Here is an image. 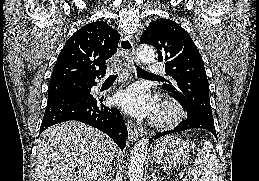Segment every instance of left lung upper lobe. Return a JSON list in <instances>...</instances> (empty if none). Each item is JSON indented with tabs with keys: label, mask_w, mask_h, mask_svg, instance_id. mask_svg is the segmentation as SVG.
Returning a JSON list of instances; mask_svg holds the SVG:
<instances>
[{
	"label": "left lung upper lobe",
	"mask_w": 259,
	"mask_h": 181,
	"mask_svg": "<svg viewBox=\"0 0 259 181\" xmlns=\"http://www.w3.org/2000/svg\"><path fill=\"white\" fill-rule=\"evenodd\" d=\"M140 42L158 50V61L165 63L167 74L174 79L162 89L194 115L213 119L205 67L190 35L174 21L161 18L148 26Z\"/></svg>",
	"instance_id": "left-lung-upper-lobe-1"
}]
</instances>
